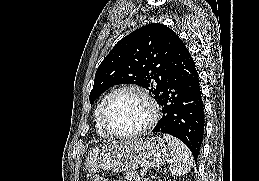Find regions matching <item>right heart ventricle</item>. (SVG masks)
<instances>
[{"instance_id": "1", "label": "right heart ventricle", "mask_w": 259, "mask_h": 181, "mask_svg": "<svg viewBox=\"0 0 259 181\" xmlns=\"http://www.w3.org/2000/svg\"><path fill=\"white\" fill-rule=\"evenodd\" d=\"M109 94L105 95L101 101L99 102V104L97 105L95 111H94V122H95V128L97 131V134L102 136V137H109L110 135L107 133V131L104 129V127L101 124V109L102 106L106 100V98L108 97Z\"/></svg>"}]
</instances>
